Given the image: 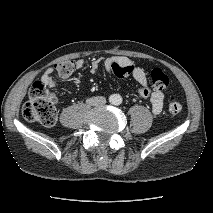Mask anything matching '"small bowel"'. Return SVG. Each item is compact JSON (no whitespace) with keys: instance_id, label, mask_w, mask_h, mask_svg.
Returning <instances> with one entry per match:
<instances>
[{"instance_id":"c3829d8e","label":"small bowel","mask_w":213,"mask_h":213,"mask_svg":"<svg viewBox=\"0 0 213 213\" xmlns=\"http://www.w3.org/2000/svg\"><path fill=\"white\" fill-rule=\"evenodd\" d=\"M115 63H129L132 65V72L131 75L134 78V80L139 84L138 93L143 98H148L151 102V109L154 114H159L164 106V94L152 88L148 84L147 74L145 70L139 66H136L130 59L126 57H120V56H108L106 58L101 59H94L90 64V72L92 74H95L100 65L103 64L105 69L108 72L112 71V66ZM84 66V61L82 59H79L75 62V68L81 69ZM54 68L49 67L47 68L44 73L41 76L42 82L49 86L54 87L55 86V80H54Z\"/></svg>"}]
</instances>
